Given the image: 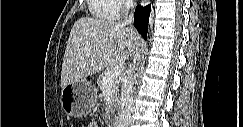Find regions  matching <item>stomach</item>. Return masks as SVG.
Here are the masks:
<instances>
[{
    "label": "stomach",
    "mask_w": 243,
    "mask_h": 127,
    "mask_svg": "<svg viewBox=\"0 0 243 127\" xmlns=\"http://www.w3.org/2000/svg\"><path fill=\"white\" fill-rule=\"evenodd\" d=\"M60 101L63 111L68 116L86 117L97 101V91L91 82L79 80L62 88Z\"/></svg>",
    "instance_id": "obj_1"
}]
</instances>
